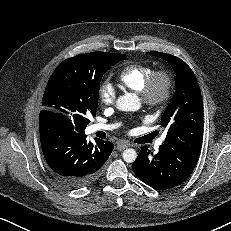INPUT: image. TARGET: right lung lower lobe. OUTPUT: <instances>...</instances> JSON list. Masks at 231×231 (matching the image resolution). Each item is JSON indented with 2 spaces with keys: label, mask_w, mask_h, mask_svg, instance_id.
I'll return each instance as SVG.
<instances>
[{
  "label": "right lung lower lobe",
  "mask_w": 231,
  "mask_h": 231,
  "mask_svg": "<svg viewBox=\"0 0 231 231\" xmlns=\"http://www.w3.org/2000/svg\"><path fill=\"white\" fill-rule=\"evenodd\" d=\"M39 129L47 164L55 178L69 188H82L94 182L114 148L109 141L87 142L84 132H76L47 110L40 112Z\"/></svg>",
  "instance_id": "obj_1"
}]
</instances>
